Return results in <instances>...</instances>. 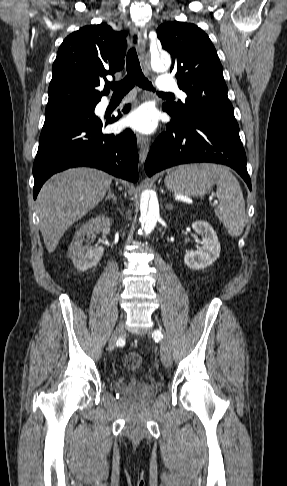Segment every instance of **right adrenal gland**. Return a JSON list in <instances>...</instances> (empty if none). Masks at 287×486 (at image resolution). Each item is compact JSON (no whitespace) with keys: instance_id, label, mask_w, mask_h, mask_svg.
Segmentation results:
<instances>
[{"instance_id":"obj_1","label":"right adrenal gland","mask_w":287,"mask_h":486,"mask_svg":"<svg viewBox=\"0 0 287 486\" xmlns=\"http://www.w3.org/2000/svg\"><path fill=\"white\" fill-rule=\"evenodd\" d=\"M109 199H112L113 201H117V197L115 196L114 192L112 191L111 188H108V195L107 197L105 198V200H109Z\"/></svg>"}]
</instances>
